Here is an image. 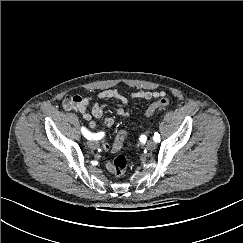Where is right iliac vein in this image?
Listing matches in <instances>:
<instances>
[{
  "mask_svg": "<svg viewBox=\"0 0 243 243\" xmlns=\"http://www.w3.org/2000/svg\"><path fill=\"white\" fill-rule=\"evenodd\" d=\"M88 147L91 149H96L98 147V142L95 140L88 141Z\"/></svg>",
  "mask_w": 243,
  "mask_h": 243,
  "instance_id": "1",
  "label": "right iliac vein"
}]
</instances>
